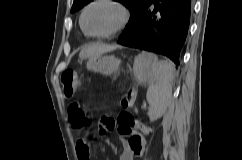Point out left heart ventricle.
<instances>
[{
  "mask_svg": "<svg viewBox=\"0 0 242 160\" xmlns=\"http://www.w3.org/2000/svg\"><path fill=\"white\" fill-rule=\"evenodd\" d=\"M121 13L111 4L101 3L92 6L85 14L86 29L93 34H103L119 25Z\"/></svg>",
  "mask_w": 242,
  "mask_h": 160,
  "instance_id": "b2bd125f",
  "label": "left heart ventricle"
}]
</instances>
